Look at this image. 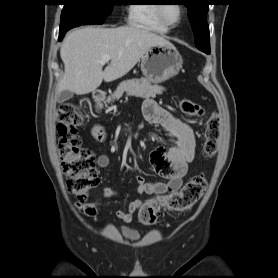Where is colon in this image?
Instances as JSON below:
<instances>
[{
  "label": "colon",
  "mask_w": 278,
  "mask_h": 278,
  "mask_svg": "<svg viewBox=\"0 0 278 278\" xmlns=\"http://www.w3.org/2000/svg\"><path fill=\"white\" fill-rule=\"evenodd\" d=\"M181 112L187 116L200 117L204 108L189 99L179 103ZM85 121L82 106L65 103L56 112V127L59 135L58 152L61 166L66 176L67 190L74 195L78 203H84L89 191L98 182V171L93 154L82 147L77 129ZM204 153L210 158L218 149L220 139V119L215 113L206 122ZM207 181L200 174L192 177L181 190L147 201L139 210L138 218L144 225H154L164 212H185L191 210L203 196Z\"/></svg>",
  "instance_id": "5ec220e1"
}]
</instances>
